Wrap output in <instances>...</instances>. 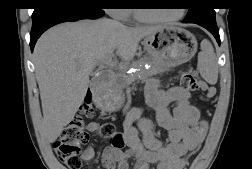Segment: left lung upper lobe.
<instances>
[{
  "label": "left lung upper lobe",
  "mask_w": 252,
  "mask_h": 169,
  "mask_svg": "<svg viewBox=\"0 0 252 169\" xmlns=\"http://www.w3.org/2000/svg\"><path fill=\"white\" fill-rule=\"evenodd\" d=\"M193 7L189 8L184 21L187 23L209 21L216 22L213 0H192Z\"/></svg>",
  "instance_id": "obj_1"
}]
</instances>
